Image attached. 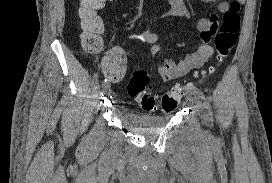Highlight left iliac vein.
I'll return each instance as SVG.
<instances>
[{
    "instance_id": "left-iliac-vein-1",
    "label": "left iliac vein",
    "mask_w": 272,
    "mask_h": 183,
    "mask_svg": "<svg viewBox=\"0 0 272 183\" xmlns=\"http://www.w3.org/2000/svg\"><path fill=\"white\" fill-rule=\"evenodd\" d=\"M188 100H189V102H190L191 104L194 105L195 108H198L199 100H198L195 96L189 95V96H188Z\"/></svg>"
}]
</instances>
